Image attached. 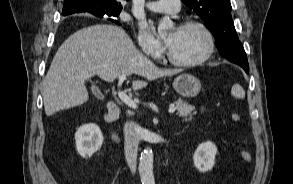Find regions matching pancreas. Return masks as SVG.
Returning a JSON list of instances; mask_svg holds the SVG:
<instances>
[{
	"label": "pancreas",
	"instance_id": "1",
	"mask_svg": "<svg viewBox=\"0 0 293 184\" xmlns=\"http://www.w3.org/2000/svg\"><path fill=\"white\" fill-rule=\"evenodd\" d=\"M174 106L177 109L178 113L182 117L191 116L192 112L195 110V107L188 104L187 102H184L181 99H178L174 102ZM195 114V112H193Z\"/></svg>",
	"mask_w": 293,
	"mask_h": 184
}]
</instances>
